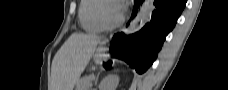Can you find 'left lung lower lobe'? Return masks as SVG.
Returning <instances> with one entry per match:
<instances>
[{"mask_svg": "<svg viewBox=\"0 0 228 90\" xmlns=\"http://www.w3.org/2000/svg\"><path fill=\"white\" fill-rule=\"evenodd\" d=\"M141 0H135L132 17L136 15ZM186 0H155L152 18L139 32L113 36L110 52L114 58L126 61L138 73L145 72L157 57L166 35L173 29L184 9Z\"/></svg>", "mask_w": 228, "mask_h": 90, "instance_id": "0a47b994", "label": "left lung lower lobe"}]
</instances>
